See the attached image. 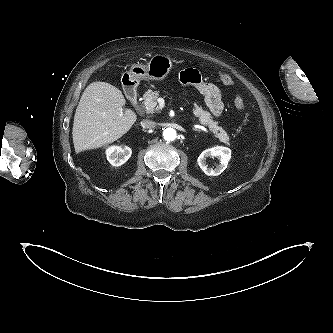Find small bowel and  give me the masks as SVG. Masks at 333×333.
<instances>
[{
  "instance_id": "1",
  "label": "small bowel",
  "mask_w": 333,
  "mask_h": 333,
  "mask_svg": "<svg viewBox=\"0 0 333 333\" xmlns=\"http://www.w3.org/2000/svg\"><path fill=\"white\" fill-rule=\"evenodd\" d=\"M179 79L183 84L194 86L204 96L206 105L214 116L222 113L224 105L221 90L213 83L204 80L198 70L185 69L180 73Z\"/></svg>"
}]
</instances>
